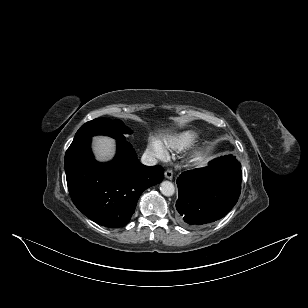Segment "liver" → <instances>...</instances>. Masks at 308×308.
Listing matches in <instances>:
<instances>
[{
	"instance_id": "liver-1",
	"label": "liver",
	"mask_w": 308,
	"mask_h": 308,
	"mask_svg": "<svg viewBox=\"0 0 308 308\" xmlns=\"http://www.w3.org/2000/svg\"><path fill=\"white\" fill-rule=\"evenodd\" d=\"M93 152L98 161H107L115 154V140L106 136L93 138Z\"/></svg>"
}]
</instances>
